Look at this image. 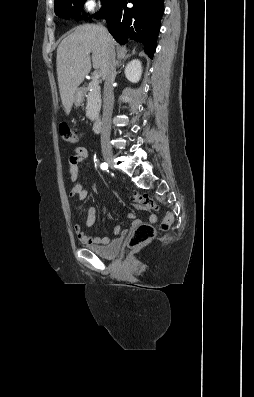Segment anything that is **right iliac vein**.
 Listing matches in <instances>:
<instances>
[{"label": "right iliac vein", "instance_id": "63e3f726", "mask_svg": "<svg viewBox=\"0 0 254 397\" xmlns=\"http://www.w3.org/2000/svg\"><path fill=\"white\" fill-rule=\"evenodd\" d=\"M103 157H104L105 161L112 167L113 164H114V157H113V154L110 153V152H105V153L103 154Z\"/></svg>", "mask_w": 254, "mask_h": 397}]
</instances>
